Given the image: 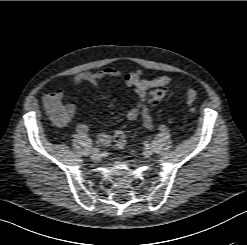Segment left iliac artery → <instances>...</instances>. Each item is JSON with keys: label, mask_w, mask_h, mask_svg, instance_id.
<instances>
[{"label": "left iliac artery", "mask_w": 247, "mask_h": 245, "mask_svg": "<svg viewBox=\"0 0 247 245\" xmlns=\"http://www.w3.org/2000/svg\"><path fill=\"white\" fill-rule=\"evenodd\" d=\"M166 129H167V127H166L165 125H161V126L159 127V130H160V131H166Z\"/></svg>", "instance_id": "1"}]
</instances>
